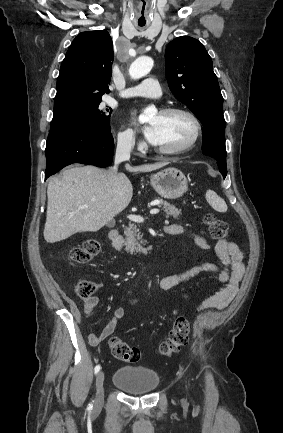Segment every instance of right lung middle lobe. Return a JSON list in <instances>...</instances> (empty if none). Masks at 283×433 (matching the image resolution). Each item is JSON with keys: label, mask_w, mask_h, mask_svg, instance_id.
Listing matches in <instances>:
<instances>
[{"label": "right lung middle lobe", "mask_w": 283, "mask_h": 433, "mask_svg": "<svg viewBox=\"0 0 283 433\" xmlns=\"http://www.w3.org/2000/svg\"><path fill=\"white\" fill-rule=\"evenodd\" d=\"M101 100L75 105L53 113L51 126L68 124L95 125L110 131L109 109H100Z\"/></svg>", "instance_id": "right-lung-middle-lobe-1"}]
</instances>
